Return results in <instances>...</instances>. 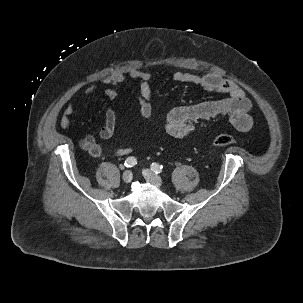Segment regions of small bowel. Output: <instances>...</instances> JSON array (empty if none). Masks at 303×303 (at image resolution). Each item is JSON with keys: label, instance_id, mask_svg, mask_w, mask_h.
Here are the masks:
<instances>
[{"label": "small bowel", "instance_id": "1", "mask_svg": "<svg viewBox=\"0 0 303 303\" xmlns=\"http://www.w3.org/2000/svg\"><path fill=\"white\" fill-rule=\"evenodd\" d=\"M155 74L150 71H142L136 68L123 73L115 71L102 78L104 84L109 85L106 90L108 99L113 100L117 96V87L128 78L139 81L137 98L140 104V117L148 119L152 114V90L151 82ZM173 79L181 83H189L202 86L204 89L227 94V97L216 101H205L197 104L179 106L172 109L166 116L165 128L169 135L175 138H183L194 130L195 124L206 121L217 116H227L232 126L240 131L247 132L252 128L253 122L249 115L251 102L246 93L236 83L224 79L221 76L208 73L197 75L189 72L177 71ZM94 88L85 90L84 95L89 96ZM74 113V106L69 103L60 119V126L67 129L71 126L70 116ZM116 127V112L107 109L105 112V123L96 132L89 133L79 140V146L93 157H99L104 150L98 140H106L112 137ZM133 151L132 146L116 149L114 153L125 156Z\"/></svg>", "mask_w": 303, "mask_h": 303}]
</instances>
